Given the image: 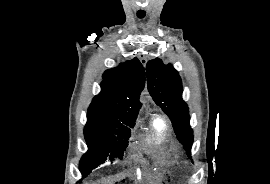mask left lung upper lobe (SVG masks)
<instances>
[{
  "mask_svg": "<svg viewBox=\"0 0 270 184\" xmlns=\"http://www.w3.org/2000/svg\"><path fill=\"white\" fill-rule=\"evenodd\" d=\"M148 91L154 102L170 118L178 140L191 157L193 131L190 127L189 109L182 99V83L172 65H164L156 58L146 65Z\"/></svg>",
  "mask_w": 270,
  "mask_h": 184,
  "instance_id": "obj_1",
  "label": "left lung upper lobe"
}]
</instances>
